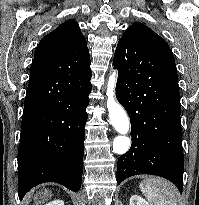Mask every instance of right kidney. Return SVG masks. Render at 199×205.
<instances>
[{
	"label": "right kidney",
	"instance_id": "ca27d5eb",
	"mask_svg": "<svg viewBox=\"0 0 199 205\" xmlns=\"http://www.w3.org/2000/svg\"><path fill=\"white\" fill-rule=\"evenodd\" d=\"M45 205H64V202L62 200H53Z\"/></svg>",
	"mask_w": 199,
	"mask_h": 205
}]
</instances>
